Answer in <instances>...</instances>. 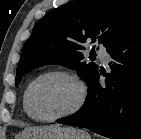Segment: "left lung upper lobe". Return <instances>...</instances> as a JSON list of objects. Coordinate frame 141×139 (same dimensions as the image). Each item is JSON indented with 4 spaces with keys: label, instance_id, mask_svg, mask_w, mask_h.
<instances>
[{
    "label": "left lung upper lobe",
    "instance_id": "obj_1",
    "mask_svg": "<svg viewBox=\"0 0 141 139\" xmlns=\"http://www.w3.org/2000/svg\"><path fill=\"white\" fill-rule=\"evenodd\" d=\"M139 24V0H74L59 6L35 25L24 44L15 85L29 71L48 64L76 68L88 85L98 67L83 61V43H99L107 48Z\"/></svg>",
    "mask_w": 141,
    "mask_h": 139
}]
</instances>
